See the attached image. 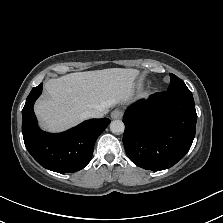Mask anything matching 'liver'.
I'll use <instances>...</instances> for the list:
<instances>
[{"mask_svg": "<svg viewBox=\"0 0 223 223\" xmlns=\"http://www.w3.org/2000/svg\"><path fill=\"white\" fill-rule=\"evenodd\" d=\"M138 74L137 69L109 68L49 79L44 85L48 96L37 101L35 113L44 129L63 131L87 119L92 109L107 112L130 102Z\"/></svg>", "mask_w": 223, "mask_h": 223, "instance_id": "obj_1", "label": "liver"}]
</instances>
